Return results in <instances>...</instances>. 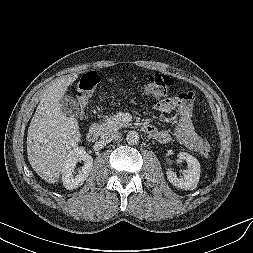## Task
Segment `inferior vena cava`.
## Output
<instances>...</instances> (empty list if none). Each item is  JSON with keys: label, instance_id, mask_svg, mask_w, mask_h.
Wrapping results in <instances>:
<instances>
[{"label": "inferior vena cava", "instance_id": "1", "mask_svg": "<svg viewBox=\"0 0 253 253\" xmlns=\"http://www.w3.org/2000/svg\"><path fill=\"white\" fill-rule=\"evenodd\" d=\"M118 137H119V132L114 131V132L104 134L101 137V141L104 142V143H110V142L116 140Z\"/></svg>", "mask_w": 253, "mask_h": 253}]
</instances>
